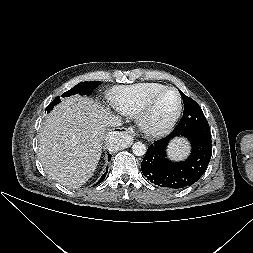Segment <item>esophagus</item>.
I'll list each match as a JSON object with an SVG mask.
<instances>
[{
	"label": "esophagus",
	"instance_id": "1",
	"mask_svg": "<svg viewBox=\"0 0 253 253\" xmlns=\"http://www.w3.org/2000/svg\"><path fill=\"white\" fill-rule=\"evenodd\" d=\"M115 132L116 134H128L130 137H134V131L129 128H118Z\"/></svg>",
	"mask_w": 253,
	"mask_h": 253
}]
</instances>
